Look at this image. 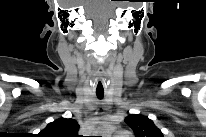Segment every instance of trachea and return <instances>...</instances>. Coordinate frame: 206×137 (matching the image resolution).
Instances as JSON below:
<instances>
[{
    "mask_svg": "<svg viewBox=\"0 0 206 137\" xmlns=\"http://www.w3.org/2000/svg\"><path fill=\"white\" fill-rule=\"evenodd\" d=\"M97 87H100L102 90L99 92V91H96V95L99 99H102L103 96H104V90H103V85L101 83V81L98 82V86Z\"/></svg>",
    "mask_w": 206,
    "mask_h": 137,
    "instance_id": "obj_1",
    "label": "trachea"
}]
</instances>
